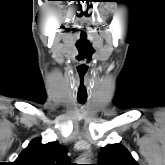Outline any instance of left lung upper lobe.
I'll list each match as a JSON object with an SVG mask.
<instances>
[{
    "label": "left lung upper lobe",
    "instance_id": "5c2ea615",
    "mask_svg": "<svg viewBox=\"0 0 165 165\" xmlns=\"http://www.w3.org/2000/svg\"><path fill=\"white\" fill-rule=\"evenodd\" d=\"M97 165H138V163L120 144H108L99 153Z\"/></svg>",
    "mask_w": 165,
    "mask_h": 165
}]
</instances>
